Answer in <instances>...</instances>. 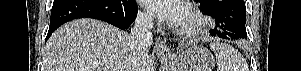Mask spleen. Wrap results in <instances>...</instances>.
Listing matches in <instances>:
<instances>
[{
  "instance_id": "3e777b00",
  "label": "spleen",
  "mask_w": 301,
  "mask_h": 71,
  "mask_svg": "<svg viewBox=\"0 0 301 71\" xmlns=\"http://www.w3.org/2000/svg\"><path fill=\"white\" fill-rule=\"evenodd\" d=\"M210 48L216 56L217 71H249L246 60L233 46L213 42Z\"/></svg>"
}]
</instances>
